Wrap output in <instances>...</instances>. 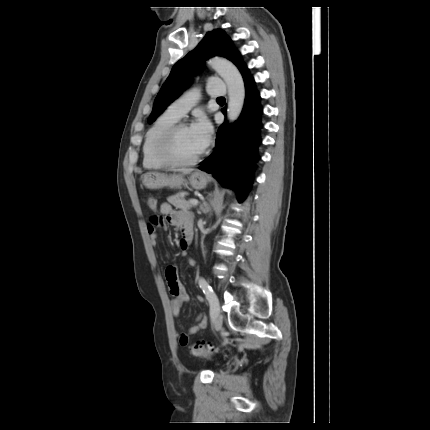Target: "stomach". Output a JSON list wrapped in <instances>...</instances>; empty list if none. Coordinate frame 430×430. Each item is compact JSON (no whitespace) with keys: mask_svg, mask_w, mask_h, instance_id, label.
I'll list each match as a JSON object with an SVG mask.
<instances>
[{"mask_svg":"<svg viewBox=\"0 0 430 430\" xmlns=\"http://www.w3.org/2000/svg\"><path fill=\"white\" fill-rule=\"evenodd\" d=\"M208 180L209 177L200 171L192 173L188 181L181 174L167 175L160 172H149L143 175V184L148 189H158L165 186L180 188L189 183L194 189L200 190L206 187Z\"/></svg>","mask_w":430,"mask_h":430,"instance_id":"0dacf381","label":"stomach"}]
</instances>
